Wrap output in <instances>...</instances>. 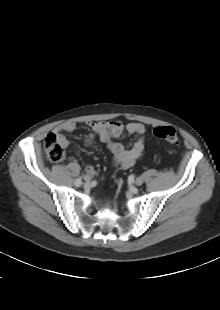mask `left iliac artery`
I'll return each mask as SVG.
<instances>
[{
    "label": "left iliac artery",
    "mask_w": 220,
    "mask_h": 310,
    "mask_svg": "<svg viewBox=\"0 0 220 310\" xmlns=\"http://www.w3.org/2000/svg\"><path fill=\"white\" fill-rule=\"evenodd\" d=\"M135 176L132 174L128 177V184H132L134 182Z\"/></svg>",
    "instance_id": "1"
}]
</instances>
